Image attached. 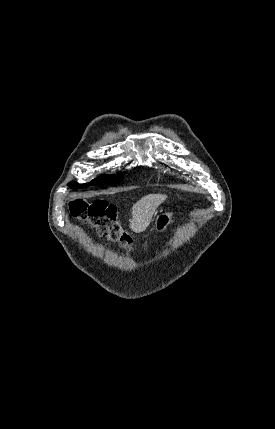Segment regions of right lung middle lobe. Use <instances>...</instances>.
Masks as SVG:
<instances>
[{"label": "right lung middle lobe", "instance_id": "right-lung-middle-lobe-1", "mask_svg": "<svg viewBox=\"0 0 275 429\" xmlns=\"http://www.w3.org/2000/svg\"><path fill=\"white\" fill-rule=\"evenodd\" d=\"M123 179L122 175H102L99 176L95 179H93L89 184H82L79 185L77 182H70L68 185L70 187H76V188H80V187H88L89 185H98V184H108V183H118Z\"/></svg>", "mask_w": 275, "mask_h": 429}]
</instances>
